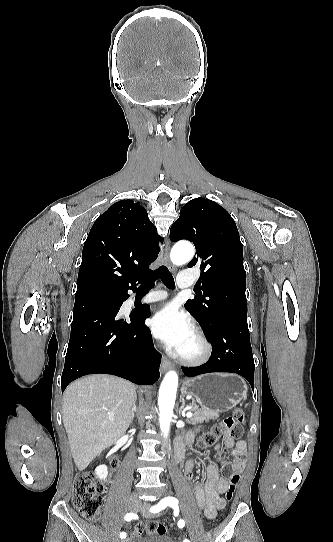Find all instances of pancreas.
<instances>
[{
  "label": "pancreas",
  "mask_w": 333,
  "mask_h": 542,
  "mask_svg": "<svg viewBox=\"0 0 333 542\" xmlns=\"http://www.w3.org/2000/svg\"><path fill=\"white\" fill-rule=\"evenodd\" d=\"M189 406H193L192 410H190V412H193V416L192 418H187L186 422L187 424H192V426L203 424L206 420H217V418H220V414L216 410H205V408H198L195 404H189Z\"/></svg>",
  "instance_id": "obj_1"
}]
</instances>
